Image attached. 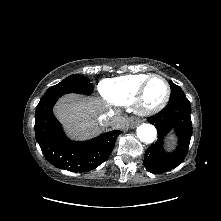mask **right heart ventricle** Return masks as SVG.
<instances>
[{
  "label": "right heart ventricle",
  "instance_id": "obj_1",
  "mask_svg": "<svg viewBox=\"0 0 221 221\" xmlns=\"http://www.w3.org/2000/svg\"><path fill=\"white\" fill-rule=\"evenodd\" d=\"M148 74L125 75L103 80L99 84L102 97L111 105L123 107L132 104L138 89Z\"/></svg>",
  "mask_w": 221,
  "mask_h": 221
}]
</instances>
